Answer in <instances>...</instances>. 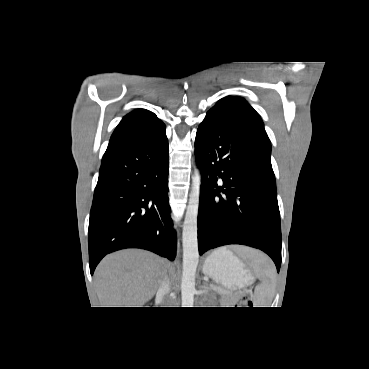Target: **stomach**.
Instances as JSON below:
<instances>
[{
	"instance_id": "stomach-1",
	"label": "stomach",
	"mask_w": 369,
	"mask_h": 369,
	"mask_svg": "<svg viewBox=\"0 0 369 369\" xmlns=\"http://www.w3.org/2000/svg\"><path fill=\"white\" fill-rule=\"evenodd\" d=\"M203 272L228 289L243 288L254 279L245 264L225 247L206 258Z\"/></svg>"
}]
</instances>
